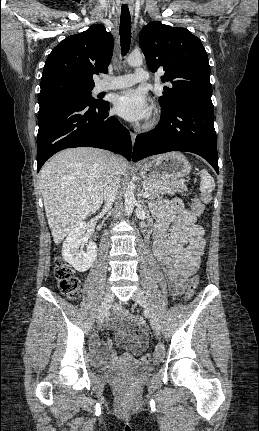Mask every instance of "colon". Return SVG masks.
<instances>
[{"instance_id": "obj_1", "label": "colon", "mask_w": 259, "mask_h": 431, "mask_svg": "<svg viewBox=\"0 0 259 431\" xmlns=\"http://www.w3.org/2000/svg\"><path fill=\"white\" fill-rule=\"evenodd\" d=\"M211 202L210 194H202L199 200H194L190 204V209L193 211L194 216L201 220L204 217L203 204H209ZM55 278L58 282L60 290L71 300H76L80 295V281L74 275L73 270L70 266L60 257L55 260ZM198 286V276L194 275L191 277L188 288L186 291V300L189 301L195 294ZM151 360V354L146 353L142 357L143 363H148Z\"/></svg>"}]
</instances>
